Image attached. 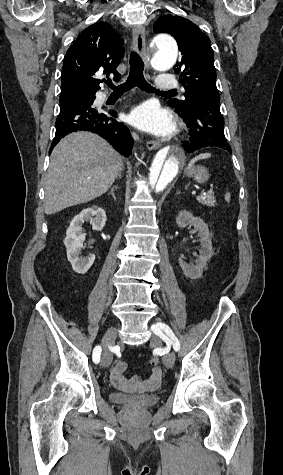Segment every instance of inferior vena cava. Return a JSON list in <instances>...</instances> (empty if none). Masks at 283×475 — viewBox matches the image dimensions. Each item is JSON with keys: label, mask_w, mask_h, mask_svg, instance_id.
Here are the masks:
<instances>
[{"label": "inferior vena cava", "mask_w": 283, "mask_h": 475, "mask_svg": "<svg viewBox=\"0 0 283 475\" xmlns=\"http://www.w3.org/2000/svg\"><path fill=\"white\" fill-rule=\"evenodd\" d=\"M132 136H133L134 140H139L137 134H132Z\"/></svg>", "instance_id": "obj_1"}]
</instances>
